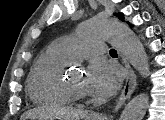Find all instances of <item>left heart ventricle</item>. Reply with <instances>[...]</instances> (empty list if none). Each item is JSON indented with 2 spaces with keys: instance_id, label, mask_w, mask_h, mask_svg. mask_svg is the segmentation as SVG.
Returning a JSON list of instances; mask_svg holds the SVG:
<instances>
[{
  "instance_id": "1",
  "label": "left heart ventricle",
  "mask_w": 165,
  "mask_h": 120,
  "mask_svg": "<svg viewBox=\"0 0 165 120\" xmlns=\"http://www.w3.org/2000/svg\"><path fill=\"white\" fill-rule=\"evenodd\" d=\"M86 79H87V77L84 74L77 73V74L73 75L72 77H70L68 81L77 89H80L88 94L89 92L87 90Z\"/></svg>"
}]
</instances>
